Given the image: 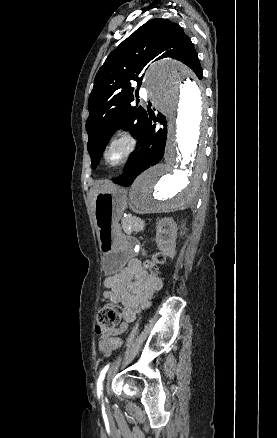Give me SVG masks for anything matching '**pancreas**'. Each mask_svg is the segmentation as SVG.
<instances>
[{
  "mask_svg": "<svg viewBox=\"0 0 277 438\" xmlns=\"http://www.w3.org/2000/svg\"><path fill=\"white\" fill-rule=\"evenodd\" d=\"M147 224V219H140L139 215L130 214L128 218L124 220L123 230L126 233H145L147 231Z\"/></svg>",
  "mask_w": 277,
  "mask_h": 438,
  "instance_id": "pancreas-1",
  "label": "pancreas"
}]
</instances>
